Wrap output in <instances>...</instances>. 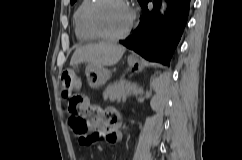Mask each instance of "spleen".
<instances>
[{
	"mask_svg": "<svg viewBox=\"0 0 242 160\" xmlns=\"http://www.w3.org/2000/svg\"><path fill=\"white\" fill-rule=\"evenodd\" d=\"M168 79L166 75H161L159 78H156L152 82L154 90L161 95L167 85Z\"/></svg>",
	"mask_w": 242,
	"mask_h": 160,
	"instance_id": "1",
	"label": "spleen"
}]
</instances>
